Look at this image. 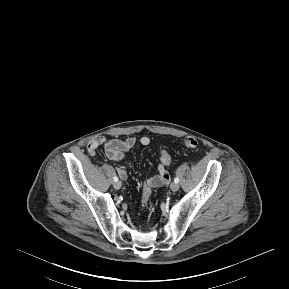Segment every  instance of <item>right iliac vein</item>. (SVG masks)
Instances as JSON below:
<instances>
[{"label":"right iliac vein","instance_id":"right-iliac-vein-1","mask_svg":"<svg viewBox=\"0 0 289 289\" xmlns=\"http://www.w3.org/2000/svg\"><path fill=\"white\" fill-rule=\"evenodd\" d=\"M113 187L116 189V190H119L121 188V182L117 181L113 184Z\"/></svg>","mask_w":289,"mask_h":289}]
</instances>
